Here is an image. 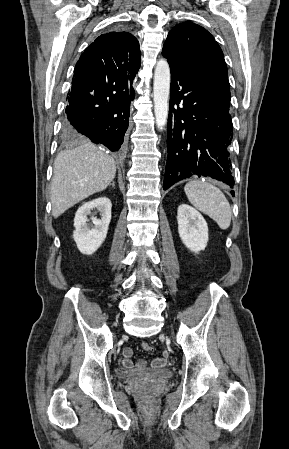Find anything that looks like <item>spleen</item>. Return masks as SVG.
Masks as SVG:
<instances>
[{"label": "spleen", "instance_id": "obj_1", "mask_svg": "<svg viewBox=\"0 0 289 449\" xmlns=\"http://www.w3.org/2000/svg\"><path fill=\"white\" fill-rule=\"evenodd\" d=\"M184 191L189 202L212 218L222 230L231 223V207L225 195L214 185L201 180L189 181Z\"/></svg>", "mask_w": 289, "mask_h": 449}]
</instances>
